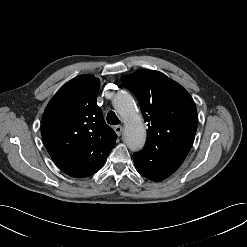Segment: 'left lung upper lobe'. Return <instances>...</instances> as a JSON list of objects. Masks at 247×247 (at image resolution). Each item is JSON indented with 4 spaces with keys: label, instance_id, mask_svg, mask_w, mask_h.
<instances>
[{
    "label": "left lung upper lobe",
    "instance_id": "5c2ea615",
    "mask_svg": "<svg viewBox=\"0 0 247 247\" xmlns=\"http://www.w3.org/2000/svg\"><path fill=\"white\" fill-rule=\"evenodd\" d=\"M122 83L138 99L147 142L138 156L185 159L197 130V110L190 94L159 71L140 70L124 76Z\"/></svg>",
    "mask_w": 247,
    "mask_h": 247
}]
</instances>
